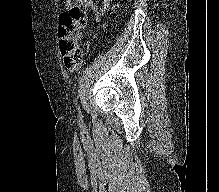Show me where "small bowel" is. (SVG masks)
I'll return each instance as SVG.
<instances>
[{
	"instance_id": "c3829d8e",
	"label": "small bowel",
	"mask_w": 219,
	"mask_h": 192,
	"mask_svg": "<svg viewBox=\"0 0 219 192\" xmlns=\"http://www.w3.org/2000/svg\"><path fill=\"white\" fill-rule=\"evenodd\" d=\"M71 5V0H67L66 6L70 7ZM77 5L92 10L96 15V22L100 21L101 15L104 14L108 8L107 4H105L102 8H99L94 0H77Z\"/></svg>"
}]
</instances>
